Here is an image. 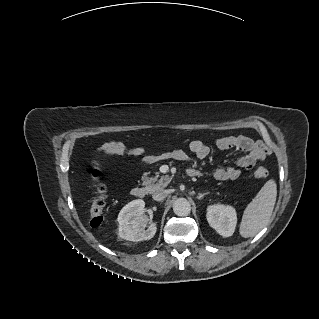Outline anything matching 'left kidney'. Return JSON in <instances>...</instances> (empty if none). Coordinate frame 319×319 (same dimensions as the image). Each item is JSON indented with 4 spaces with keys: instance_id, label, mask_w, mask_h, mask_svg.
Wrapping results in <instances>:
<instances>
[{
    "instance_id": "obj_1",
    "label": "left kidney",
    "mask_w": 319,
    "mask_h": 319,
    "mask_svg": "<svg viewBox=\"0 0 319 319\" xmlns=\"http://www.w3.org/2000/svg\"><path fill=\"white\" fill-rule=\"evenodd\" d=\"M206 218L209 225L221 236L233 235L237 224V213L234 207L221 203L209 205Z\"/></svg>"
}]
</instances>
